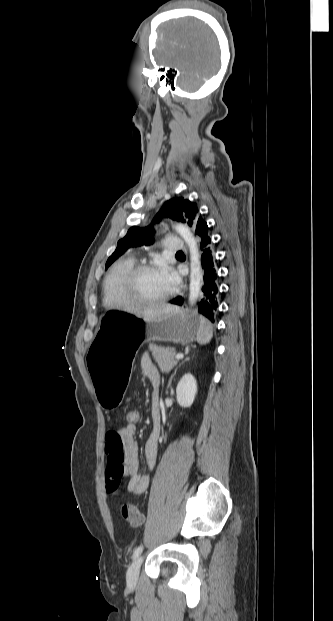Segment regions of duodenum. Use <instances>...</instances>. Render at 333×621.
Here are the masks:
<instances>
[{
	"mask_svg": "<svg viewBox=\"0 0 333 621\" xmlns=\"http://www.w3.org/2000/svg\"><path fill=\"white\" fill-rule=\"evenodd\" d=\"M153 421H154V424H155V425H158V424H159V422H160V417H159V415H158V414H155V415L153 416Z\"/></svg>",
	"mask_w": 333,
	"mask_h": 621,
	"instance_id": "duodenum-1",
	"label": "duodenum"
}]
</instances>
